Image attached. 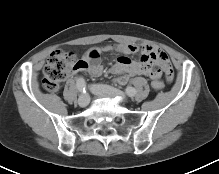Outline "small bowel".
Wrapping results in <instances>:
<instances>
[{
    "label": "small bowel",
    "instance_id": "obj_1",
    "mask_svg": "<svg viewBox=\"0 0 219 174\" xmlns=\"http://www.w3.org/2000/svg\"><path fill=\"white\" fill-rule=\"evenodd\" d=\"M113 47L108 45L97 51L110 50ZM116 49L123 55L117 59L112 65L111 71L116 74H120L117 78L118 84H125L129 76L144 75L153 80L158 79L161 76L162 71L166 77L168 75L173 78V70L167 55L158 47L152 45H146L141 48V62L132 61L128 55L135 54L139 51V47L134 44H119ZM164 55V60H160V56ZM152 57H156L159 61L152 62ZM155 64L157 67H154ZM103 67L101 65L99 57L88 56L86 60H83L82 65L76 69L77 72H89L92 75H100Z\"/></svg>",
    "mask_w": 219,
    "mask_h": 174
}]
</instances>
